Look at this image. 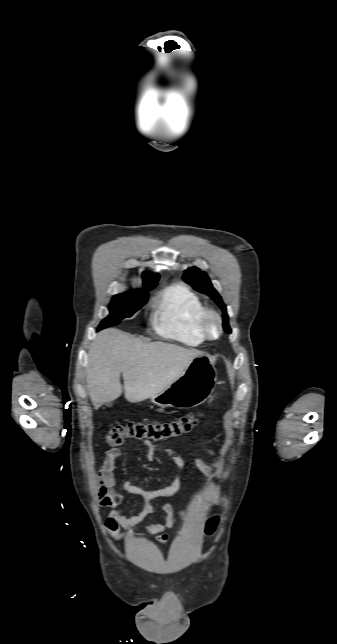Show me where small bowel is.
Here are the masks:
<instances>
[{
	"instance_id": "c3829d8e",
	"label": "small bowel",
	"mask_w": 337,
	"mask_h": 644,
	"mask_svg": "<svg viewBox=\"0 0 337 644\" xmlns=\"http://www.w3.org/2000/svg\"><path fill=\"white\" fill-rule=\"evenodd\" d=\"M142 443L146 447V459L148 462H152L154 460L157 450H162L172 456L180 470L183 469V461L175 450L169 447L157 445L149 440H143ZM208 453L211 455L213 454L211 450H208ZM121 455L122 450L118 447L107 450L105 460L97 475L98 484L100 486L99 502L102 506L112 508V511L109 513L105 521V530L115 540H122L129 536V534H121L120 528L129 529L142 522L150 513L155 511V508L152 505V500L159 497L171 496L180 486L179 477L176 478L169 486L153 490H147L137 486L131 480L124 481L121 486L122 490L126 493L140 497L143 503L142 510L137 515L125 517L118 508L122 503L123 496L116 489V480L114 476L115 461L120 458ZM195 464L202 474L208 477L212 482L215 481V475L208 462L201 458H196ZM204 501H210L214 504L218 502V500L213 496V488L208 490ZM160 510L166 513V522L151 524L146 526L144 530L149 534L157 535L156 540L159 543L164 544L168 540V535L165 532L173 527L175 518H184L189 514V511L180 510L175 512L173 508L167 504L162 505Z\"/></svg>"
}]
</instances>
